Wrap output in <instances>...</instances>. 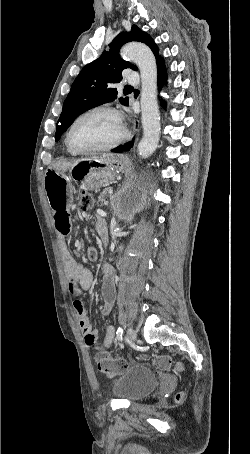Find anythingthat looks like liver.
Here are the masks:
<instances>
[{
	"instance_id": "1",
	"label": "liver",
	"mask_w": 250,
	"mask_h": 454,
	"mask_svg": "<svg viewBox=\"0 0 250 454\" xmlns=\"http://www.w3.org/2000/svg\"><path fill=\"white\" fill-rule=\"evenodd\" d=\"M92 159H95V157H92V158H82V159H78V160H75L72 164H68V166H71L77 162H80V161H86V160H92Z\"/></svg>"
}]
</instances>
